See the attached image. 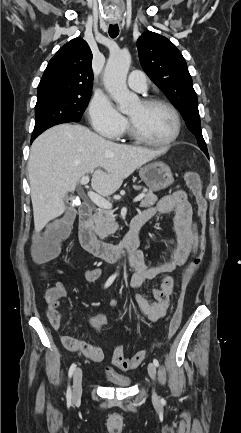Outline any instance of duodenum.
Returning <instances> with one entry per match:
<instances>
[{
	"label": "duodenum",
	"mask_w": 241,
	"mask_h": 433,
	"mask_svg": "<svg viewBox=\"0 0 241 433\" xmlns=\"http://www.w3.org/2000/svg\"><path fill=\"white\" fill-rule=\"evenodd\" d=\"M93 208L82 204L79 210V240L81 246L90 254L114 262L125 256H134L140 244L141 230L147 219L141 215L133 217L123 242L118 244L99 240L92 229Z\"/></svg>",
	"instance_id": "1"
}]
</instances>
